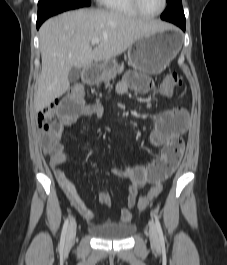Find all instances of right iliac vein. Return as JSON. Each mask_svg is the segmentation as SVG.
Segmentation results:
<instances>
[{
  "label": "right iliac vein",
  "instance_id": "obj_1",
  "mask_svg": "<svg viewBox=\"0 0 227 265\" xmlns=\"http://www.w3.org/2000/svg\"><path fill=\"white\" fill-rule=\"evenodd\" d=\"M77 224L75 220H72L69 224L67 236H66V247H70L75 240Z\"/></svg>",
  "mask_w": 227,
  "mask_h": 265
}]
</instances>
